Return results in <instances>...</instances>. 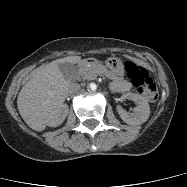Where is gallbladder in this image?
<instances>
[{
  "label": "gallbladder",
  "mask_w": 187,
  "mask_h": 187,
  "mask_svg": "<svg viewBox=\"0 0 187 187\" xmlns=\"http://www.w3.org/2000/svg\"><path fill=\"white\" fill-rule=\"evenodd\" d=\"M58 66H59V69H60L61 73L66 78H70L75 71L74 65L72 63H69V62L59 63Z\"/></svg>",
  "instance_id": "obj_1"
}]
</instances>
